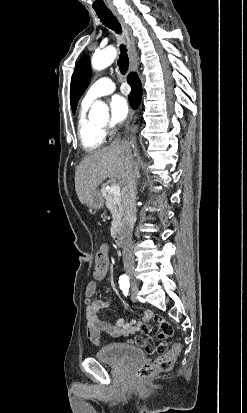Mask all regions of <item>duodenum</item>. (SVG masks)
I'll list each match as a JSON object with an SVG mask.
<instances>
[{"mask_svg":"<svg viewBox=\"0 0 247 413\" xmlns=\"http://www.w3.org/2000/svg\"><path fill=\"white\" fill-rule=\"evenodd\" d=\"M111 239L115 245H122L123 243V234L119 229H113L111 231Z\"/></svg>","mask_w":247,"mask_h":413,"instance_id":"duodenum-1","label":"duodenum"}]
</instances>
